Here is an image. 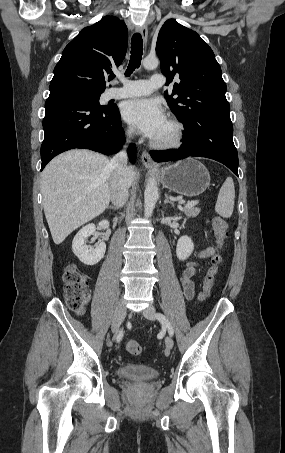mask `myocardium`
<instances>
[{"instance_id": "obj_1", "label": "myocardium", "mask_w": 285, "mask_h": 453, "mask_svg": "<svg viewBox=\"0 0 285 453\" xmlns=\"http://www.w3.org/2000/svg\"><path fill=\"white\" fill-rule=\"evenodd\" d=\"M167 122L172 126V135L165 140H153L152 146L157 149H174L182 145L185 137V128L183 123L175 117H169Z\"/></svg>"}]
</instances>
